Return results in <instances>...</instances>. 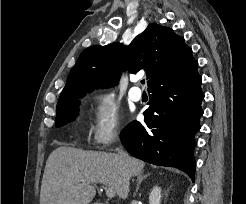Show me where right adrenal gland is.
<instances>
[{"label": "right adrenal gland", "mask_w": 246, "mask_h": 204, "mask_svg": "<svg viewBox=\"0 0 246 204\" xmlns=\"http://www.w3.org/2000/svg\"><path fill=\"white\" fill-rule=\"evenodd\" d=\"M150 175V173L144 174V171H141L138 175H137V185H136V189L133 193V196H136L138 193V190L140 188V184L141 182ZM139 196H141V194H139Z\"/></svg>", "instance_id": "1"}]
</instances>
